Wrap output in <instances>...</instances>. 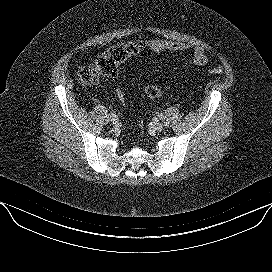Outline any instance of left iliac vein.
I'll return each instance as SVG.
<instances>
[{"label": "left iliac vein", "mask_w": 272, "mask_h": 272, "mask_svg": "<svg viewBox=\"0 0 272 272\" xmlns=\"http://www.w3.org/2000/svg\"><path fill=\"white\" fill-rule=\"evenodd\" d=\"M151 128L154 129L155 131H162L164 128V125L160 123L159 121H153L151 123Z\"/></svg>", "instance_id": "left-iliac-vein-1"}]
</instances>
